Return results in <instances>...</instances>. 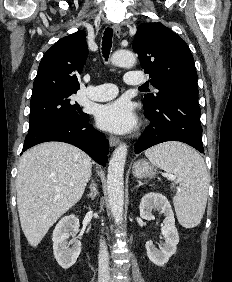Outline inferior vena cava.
Instances as JSON below:
<instances>
[{
	"mask_svg": "<svg viewBox=\"0 0 232 282\" xmlns=\"http://www.w3.org/2000/svg\"><path fill=\"white\" fill-rule=\"evenodd\" d=\"M99 264H98V277L99 282H107L110 278L109 275V260L107 247L104 241H100V251H99Z\"/></svg>",
	"mask_w": 232,
	"mask_h": 282,
	"instance_id": "1",
	"label": "inferior vena cava"
}]
</instances>
